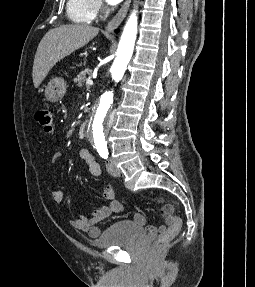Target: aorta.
Listing matches in <instances>:
<instances>
[{"label": "aorta", "mask_w": 255, "mask_h": 287, "mask_svg": "<svg viewBox=\"0 0 255 287\" xmlns=\"http://www.w3.org/2000/svg\"><path fill=\"white\" fill-rule=\"evenodd\" d=\"M137 35V16L134 11L123 29L116 58L111 67L112 79L119 82L126 70L135 45ZM113 91L105 92L94 107L87 127V136L97 147L105 146L107 139L108 118L113 104Z\"/></svg>", "instance_id": "762f6f07"}]
</instances>
